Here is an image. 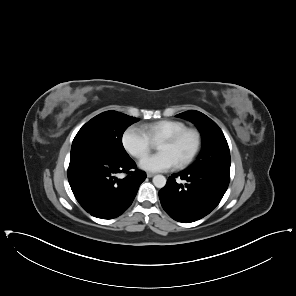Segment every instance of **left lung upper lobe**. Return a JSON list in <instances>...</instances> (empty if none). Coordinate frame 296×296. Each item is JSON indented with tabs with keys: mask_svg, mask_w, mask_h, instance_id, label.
Returning <instances> with one entry per match:
<instances>
[{
	"mask_svg": "<svg viewBox=\"0 0 296 296\" xmlns=\"http://www.w3.org/2000/svg\"><path fill=\"white\" fill-rule=\"evenodd\" d=\"M193 122L202 135V150L188 169L230 170V151L226 138L219 126L198 111H187L176 115Z\"/></svg>",
	"mask_w": 296,
	"mask_h": 296,
	"instance_id": "obj_1",
	"label": "left lung upper lobe"
}]
</instances>
